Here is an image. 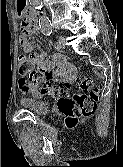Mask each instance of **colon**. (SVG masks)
Instances as JSON below:
<instances>
[{"mask_svg": "<svg viewBox=\"0 0 123 167\" xmlns=\"http://www.w3.org/2000/svg\"><path fill=\"white\" fill-rule=\"evenodd\" d=\"M23 28V24H22ZM57 60L62 57L57 55ZM19 71H29V81L38 88L42 94L58 98V108L66 117L69 126L75 125L80 119L92 115L98 101V89L90 77H83L75 81V91L70 93L68 83L54 82L51 74L42 69H33L31 59L25 55L19 56Z\"/></svg>", "mask_w": 123, "mask_h": 167, "instance_id": "colon-1", "label": "colon"}]
</instances>
